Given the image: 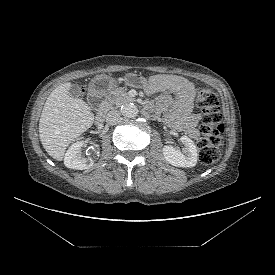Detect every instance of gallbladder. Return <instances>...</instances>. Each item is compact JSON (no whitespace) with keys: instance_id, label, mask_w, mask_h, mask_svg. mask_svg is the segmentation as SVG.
<instances>
[{"instance_id":"gallbladder-1","label":"gallbladder","mask_w":275,"mask_h":275,"mask_svg":"<svg viewBox=\"0 0 275 275\" xmlns=\"http://www.w3.org/2000/svg\"><path fill=\"white\" fill-rule=\"evenodd\" d=\"M69 94L72 96V97H79L81 95V88L79 85L77 84H72L70 89H69Z\"/></svg>"}]
</instances>
